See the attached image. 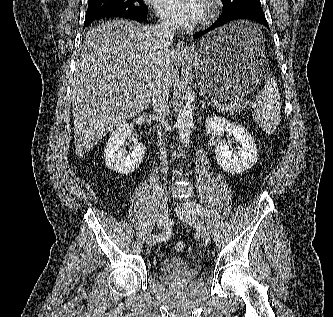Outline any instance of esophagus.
Instances as JSON below:
<instances>
[{"label":"esophagus","instance_id":"obj_1","mask_svg":"<svg viewBox=\"0 0 333 317\" xmlns=\"http://www.w3.org/2000/svg\"><path fill=\"white\" fill-rule=\"evenodd\" d=\"M175 55L178 59H186L189 57L190 52L184 41L177 42Z\"/></svg>","mask_w":333,"mask_h":317}]
</instances>
